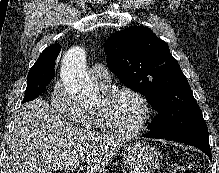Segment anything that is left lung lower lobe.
I'll return each mask as SVG.
<instances>
[{
    "label": "left lung lower lobe",
    "instance_id": "1",
    "mask_svg": "<svg viewBox=\"0 0 219 173\" xmlns=\"http://www.w3.org/2000/svg\"><path fill=\"white\" fill-rule=\"evenodd\" d=\"M145 137L149 138H165L177 142L187 143L199 148L203 151L209 158L212 160L211 149L209 146V137L206 133H188L180 136H171V137H157L149 134H145Z\"/></svg>",
    "mask_w": 219,
    "mask_h": 173
}]
</instances>
